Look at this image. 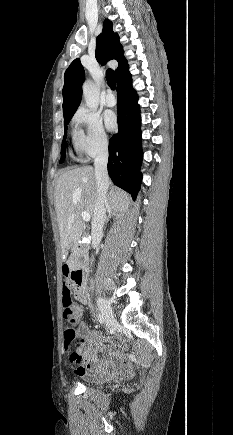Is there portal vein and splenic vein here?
Here are the masks:
<instances>
[{
    "label": "portal vein and splenic vein",
    "mask_w": 233,
    "mask_h": 435,
    "mask_svg": "<svg viewBox=\"0 0 233 435\" xmlns=\"http://www.w3.org/2000/svg\"><path fill=\"white\" fill-rule=\"evenodd\" d=\"M81 216H82V219H83L84 221H86V222H89V221H90V214H89L88 212L83 211L82 214H81Z\"/></svg>",
    "instance_id": "portal-vein-and-splenic-vein-1"
}]
</instances>
